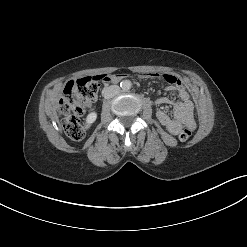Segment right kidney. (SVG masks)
Segmentation results:
<instances>
[{
  "instance_id": "ca27d5eb",
  "label": "right kidney",
  "mask_w": 247,
  "mask_h": 247,
  "mask_svg": "<svg viewBox=\"0 0 247 247\" xmlns=\"http://www.w3.org/2000/svg\"><path fill=\"white\" fill-rule=\"evenodd\" d=\"M97 119V113L95 111L90 112L85 121V129H88Z\"/></svg>"
}]
</instances>
